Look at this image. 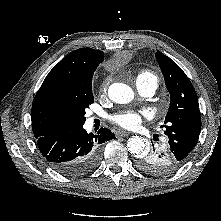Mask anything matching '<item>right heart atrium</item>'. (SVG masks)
I'll return each instance as SVG.
<instances>
[{"label":"right heart atrium","instance_id":"right-heart-atrium-1","mask_svg":"<svg viewBox=\"0 0 221 221\" xmlns=\"http://www.w3.org/2000/svg\"><path fill=\"white\" fill-rule=\"evenodd\" d=\"M106 88V82H104L101 86V89L104 90Z\"/></svg>","mask_w":221,"mask_h":221}]
</instances>
